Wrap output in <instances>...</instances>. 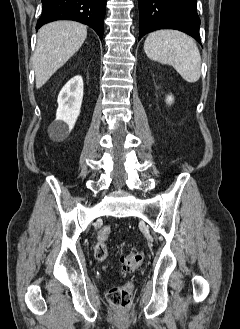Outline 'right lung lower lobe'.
<instances>
[{"mask_svg":"<svg viewBox=\"0 0 240 329\" xmlns=\"http://www.w3.org/2000/svg\"><path fill=\"white\" fill-rule=\"evenodd\" d=\"M42 4L36 29L56 20H73L90 26L102 39L106 0H42Z\"/></svg>","mask_w":240,"mask_h":329,"instance_id":"obj_1","label":"right lung lower lobe"}]
</instances>
